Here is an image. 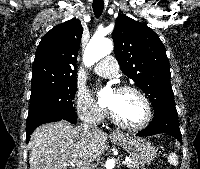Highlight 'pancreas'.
<instances>
[{"instance_id": "obj_1", "label": "pancreas", "mask_w": 200, "mask_h": 169, "mask_svg": "<svg viewBox=\"0 0 200 169\" xmlns=\"http://www.w3.org/2000/svg\"><path fill=\"white\" fill-rule=\"evenodd\" d=\"M127 167L129 169H139V165H137L133 160H130L128 163H127Z\"/></svg>"}]
</instances>
